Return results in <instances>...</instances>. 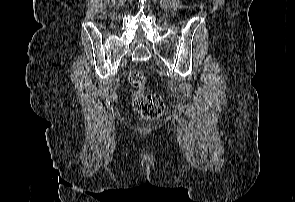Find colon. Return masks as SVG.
<instances>
[{"mask_svg":"<svg viewBox=\"0 0 295 202\" xmlns=\"http://www.w3.org/2000/svg\"><path fill=\"white\" fill-rule=\"evenodd\" d=\"M129 83L135 89L133 94L134 108L146 119H157L164 112V102L157 94L145 93L147 80L142 72L133 69L128 75Z\"/></svg>","mask_w":295,"mask_h":202,"instance_id":"colon-1","label":"colon"}]
</instances>
